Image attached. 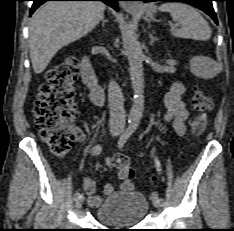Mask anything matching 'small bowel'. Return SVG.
Instances as JSON below:
<instances>
[{"mask_svg":"<svg viewBox=\"0 0 234 231\" xmlns=\"http://www.w3.org/2000/svg\"><path fill=\"white\" fill-rule=\"evenodd\" d=\"M184 91V86L180 82L174 81L170 87V90L164 96V105L167 109V112L164 115V121L172 124L174 131L178 136H183L185 134V122L188 118V110L182 100V94L184 93ZM72 131L78 141H82L84 139V134L81 129L74 127ZM113 164V158H107V165L112 167ZM132 187L133 183L130 180H123L121 184V190L130 191L132 190ZM83 189L87 194L88 205L94 208L100 206L102 197L95 193V182L90 178H84ZM114 191V187L111 184H108L105 186L104 194L106 196H109Z\"/></svg>","mask_w":234,"mask_h":231,"instance_id":"small-bowel-1","label":"small bowel"}]
</instances>
